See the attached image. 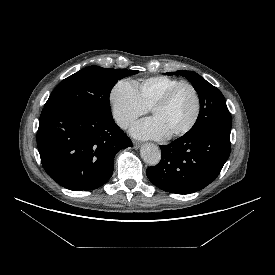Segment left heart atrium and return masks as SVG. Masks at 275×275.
<instances>
[{"mask_svg":"<svg viewBox=\"0 0 275 275\" xmlns=\"http://www.w3.org/2000/svg\"><path fill=\"white\" fill-rule=\"evenodd\" d=\"M131 134L139 139H164L168 136L161 124L154 117L135 123L131 128Z\"/></svg>","mask_w":275,"mask_h":275,"instance_id":"obj_1","label":"left heart atrium"}]
</instances>
